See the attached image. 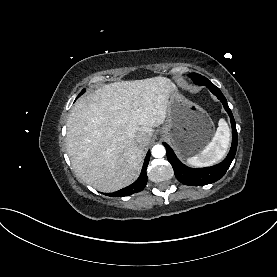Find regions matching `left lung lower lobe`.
I'll return each mask as SVG.
<instances>
[{
	"label": "left lung lower lobe",
	"mask_w": 277,
	"mask_h": 277,
	"mask_svg": "<svg viewBox=\"0 0 277 277\" xmlns=\"http://www.w3.org/2000/svg\"><path fill=\"white\" fill-rule=\"evenodd\" d=\"M200 85H205L215 96H217L230 116L232 125V146L229 154L221 163L212 167L193 169L182 164L170 146L163 143L167 151V159L174 169L175 176L181 183L190 186L206 185L222 178L235 157L238 142L236 123L224 95L219 88L212 84L209 80L201 82Z\"/></svg>",
	"instance_id": "obj_1"
}]
</instances>
